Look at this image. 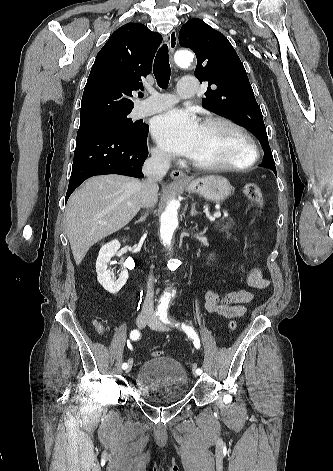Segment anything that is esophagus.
<instances>
[{"label":"esophagus","instance_id":"1","mask_svg":"<svg viewBox=\"0 0 333 471\" xmlns=\"http://www.w3.org/2000/svg\"><path fill=\"white\" fill-rule=\"evenodd\" d=\"M176 46H177V33H176L175 30H172L169 33V37H168V48H169V51H170L171 54L174 52ZM170 176H171L172 179H174L177 182H188L189 181L186 174L183 171L179 170V169L172 170L170 172Z\"/></svg>","mask_w":333,"mask_h":471}]
</instances>
